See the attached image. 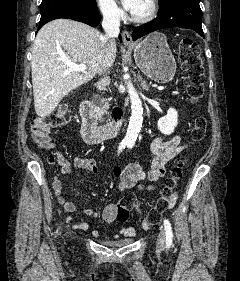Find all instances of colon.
Segmentation results:
<instances>
[{"label": "colon", "mask_w": 240, "mask_h": 281, "mask_svg": "<svg viewBox=\"0 0 240 281\" xmlns=\"http://www.w3.org/2000/svg\"><path fill=\"white\" fill-rule=\"evenodd\" d=\"M179 62L182 69L184 85L188 99L191 103H198L204 95V64L200 55L198 44L190 38H183L179 44ZM68 106L60 105L56 110L43 118H37L32 124V137L42 148L51 147V132L63 126L66 122ZM207 130V121L199 116L195 119L192 127V138L201 140ZM51 163L59 161V155L49 157ZM182 164L175 166L169 177L166 178L164 188L157 203L150 211L141 217V226L148 228L159 222L161 215L168 208L170 199L179 180L182 178ZM138 206L137 199L129 195L117 204V219L126 221L129 218L130 209Z\"/></svg>", "instance_id": "obj_1"}]
</instances>
